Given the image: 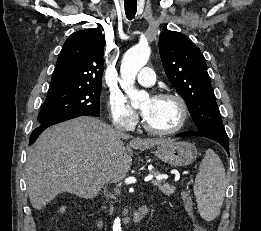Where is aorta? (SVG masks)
<instances>
[{
  "instance_id": "aorta-1",
  "label": "aorta",
  "mask_w": 261,
  "mask_h": 231,
  "mask_svg": "<svg viewBox=\"0 0 261 231\" xmlns=\"http://www.w3.org/2000/svg\"><path fill=\"white\" fill-rule=\"evenodd\" d=\"M150 57V47L146 43H140L130 48L124 55L120 73V85L131 100V105L136 107L142 101L149 98L146 91H139L135 88V78L139 70L146 65ZM113 231H122L120 218H116Z\"/></svg>"
}]
</instances>
